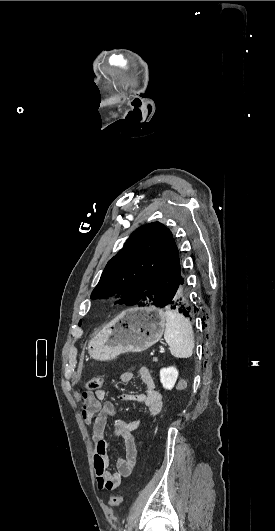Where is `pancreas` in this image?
<instances>
[{"instance_id":"1","label":"pancreas","mask_w":275,"mask_h":531,"mask_svg":"<svg viewBox=\"0 0 275 531\" xmlns=\"http://www.w3.org/2000/svg\"><path fill=\"white\" fill-rule=\"evenodd\" d=\"M153 361H158L157 357H154Z\"/></svg>"}]
</instances>
